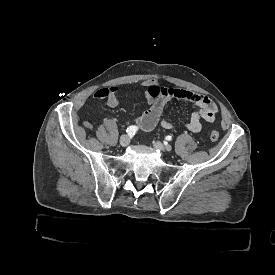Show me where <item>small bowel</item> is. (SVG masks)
Segmentation results:
<instances>
[{
    "label": "small bowel",
    "instance_id": "small-bowel-1",
    "mask_svg": "<svg viewBox=\"0 0 275 275\" xmlns=\"http://www.w3.org/2000/svg\"><path fill=\"white\" fill-rule=\"evenodd\" d=\"M150 84H157V80L150 79L142 83L141 86L148 87ZM106 90L107 89L98 90L94 94V98H106V103L111 108L118 106L120 103V98L118 97V95L113 92V89H108L111 92L106 96ZM171 100L195 103L200 107L199 111L194 113L191 119L184 124V127L190 132H200L204 127V123H211L216 119L217 106L208 97L193 93L185 89L166 88L163 95L152 100L150 105V114L146 117L138 116L136 118V124L139 126V128L143 131H151L156 127L159 122L164 129L170 130L176 128L178 125L174 122H171L169 120L160 121L165 105Z\"/></svg>",
    "mask_w": 275,
    "mask_h": 275
}]
</instances>
